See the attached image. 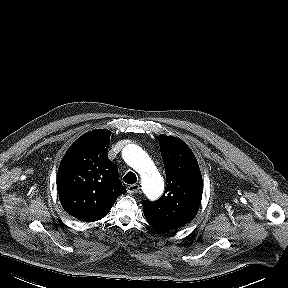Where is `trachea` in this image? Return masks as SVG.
<instances>
[{
    "mask_svg": "<svg viewBox=\"0 0 288 288\" xmlns=\"http://www.w3.org/2000/svg\"><path fill=\"white\" fill-rule=\"evenodd\" d=\"M123 180L125 183L127 184H134L137 182V177L135 175V173L129 171L124 177Z\"/></svg>",
    "mask_w": 288,
    "mask_h": 288,
    "instance_id": "obj_1",
    "label": "trachea"
}]
</instances>
